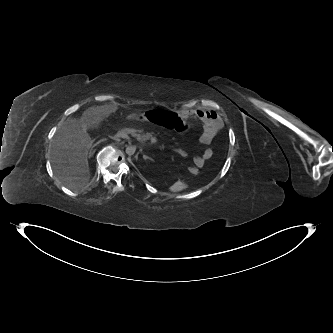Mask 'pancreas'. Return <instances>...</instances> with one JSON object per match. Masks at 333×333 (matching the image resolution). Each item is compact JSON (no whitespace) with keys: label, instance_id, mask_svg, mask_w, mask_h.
<instances>
[{"label":"pancreas","instance_id":"cf45deb5","mask_svg":"<svg viewBox=\"0 0 333 333\" xmlns=\"http://www.w3.org/2000/svg\"><path fill=\"white\" fill-rule=\"evenodd\" d=\"M126 134H131V136L135 137L137 141L144 142L148 139H152L151 133H143L141 130L137 129H126L124 130Z\"/></svg>","mask_w":333,"mask_h":333}]
</instances>
